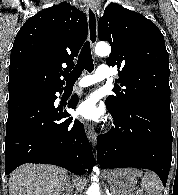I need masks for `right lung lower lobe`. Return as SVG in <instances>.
<instances>
[{"instance_id": "1", "label": "right lung lower lobe", "mask_w": 178, "mask_h": 195, "mask_svg": "<svg viewBox=\"0 0 178 195\" xmlns=\"http://www.w3.org/2000/svg\"><path fill=\"white\" fill-rule=\"evenodd\" d=\"M62 88L23 92L9 97L5 138V174L24 163L61 166L82 175L91 172L94 159L83 124L55 108V93ZM75 94L68 108H75Z\"/></svg>"}]
</instances>
